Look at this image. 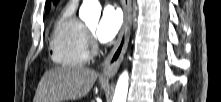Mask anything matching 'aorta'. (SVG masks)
<instances>
[{"label": "aorta", "mask_w": 221, "mask_h": 102, "mask_svg": "<svg viewBox=\"0 0 221 102\" xmlns=\"http://www.w3.org/2000/svg\"><path fill=\"white\" fill-rule=\"evenodd\" d=\"M101 15L99 0H83L79 10V17L84 21H98ZM129 86L128 71H124L117 81L112 102H126Z\"/></svg>", "instance_id": "762f6f07"}]
</instances>
